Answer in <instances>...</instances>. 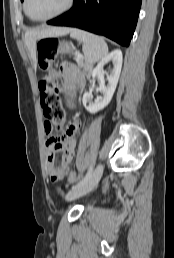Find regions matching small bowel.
<instances>
[{"label": "small bowel", "instance_id": "small-bowel-1", "mask_svg": "<svg viewBox=\"0 0 174 258\" xmlns=\"http://www.w3.org/2000/svg\"><path fill=\"white\" fill-rule=\"evenodd\" d=\"M61 73L64 81L73 89L77 90L83 86V79L80 76L76 66L72 63L65 62L61 65ZM82 123L79 120H75L65 132L67 136L66 140H62L58 136H51L50 126L44 123V133L47 136L46 142V162L49 174L52 178V183H61L63 176L69 177L68 173L72 172L69 170L68 165L73 159L76 148V140L72 137L73 133L81 127ZM85 125V124H84ZM63 150L64 152V166H54L55 152ZM77 177V176H75Z\"/></svg>", "mask_w": 174, "mask_h": 258}]
</instances>
